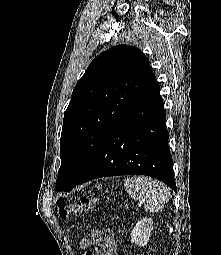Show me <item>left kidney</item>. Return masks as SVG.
I'll return each instance as SVG.
<instances>
[{"label":"left kidney","instance_id":"5707ae66","mask_svg":"<svg viewBox=\"0 0 221 255\" xmlns=\"http://www.w3.org/2000/svg\"><path fill=\"white\" fill-rule=\"evenodd\" d=\"M153 230L152 218H142L138 221L131 232V243L138 246H145L150 238V233Z\"/></svg>","mask_w":221,"mask_h":255}]
</instances>
